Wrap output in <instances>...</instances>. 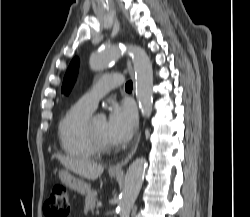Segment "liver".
I'll use <instances>...</instances> for the list:
<instances>
[{
	"label": "liver",
	"mask_w": 250,
	"mask_h": 217,
	"mask_svg": "<svg viewBox=\"0 0 250 217\" xmlns=\"http://www.w3.org/2000/svg\"><path fill=\"white\" fill-rule=\"evenodd\" d=\"M52 158L58 159L67 169L87 180H96L104 171L102 165L87 159L71 158L61 154H54Z\"/></svg>",
	"instance_id": "6515ba94"
}]
</instances>
